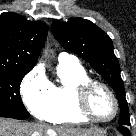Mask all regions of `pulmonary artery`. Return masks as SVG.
Returning <instances> with one entry per match:
<instances>
[{"mask_svg":"<svg viewBox=\"0 0 136 136\" xmlns=\"http://www.w3.org/2000/svg\"><path fill=\"white\" fill-rule=\"evenodd\" d=\"M59 63H78V60L75 56L68 54V53H60L58 57Z\"/></svg>","mask_w":136,"mask_h":136,"instance_id":"1","label":"pulmonary artery"}]
</instances>
